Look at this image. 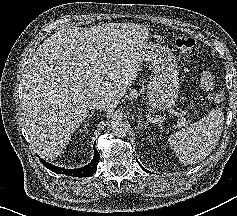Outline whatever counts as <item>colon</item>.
I'll return each instance as SVG.
<instances>
[{
  "mask_svg": "<svg viewBox=\"0 0 237 216\" xmlns=\"http://www.w3.org/2000/svg\"><path fill=\"white\" fill-rule=\"evenodd\" d=\"M175 46L180 53L189 55L194 49L195 40L189 36H179L175 39ZM213 99L217 103L222 102L224 100L223 92L214 93Z\"/></svg>",
  "mask_w": 237,
  "mask_h": 216,
  "instance_id": "5ec220e1",
  "label": "colon"
}]
</instances>
